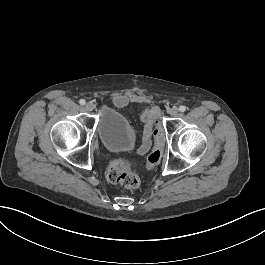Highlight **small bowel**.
<instances>
[{
    "mask_svg": "<svg viewBox=\"0 0 265 265\" xmlns=\"http://www.w3.org/2000/svg\"><path fill=\"white\" fill-rule=\"evenodd\" d=\"M112 101L117 108H123L129 103H137L139 106L145 108L141 116L144 125V137L142 144L138 149V153L140 155L147 153L151 146L153 124L160 109L157 106H154L153 108L150 107L151 103L148 100H144L142 97L135 94L114 93Z\"/></svg>",
    "mask_w": 265,
    "mask_h": 265,
    "instance_id": "c3829d8e",
    "label": "small bowel"
}]
</instances>
